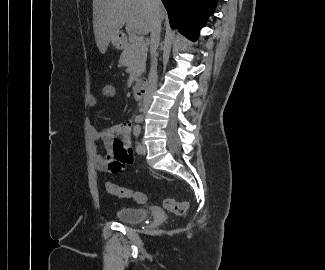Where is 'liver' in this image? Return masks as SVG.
<instances>
[{"mask_svg":"<svg viewBox=\"0 0 325 270\" xmlns=\"http://www.w3.org/2000/svg\"><path fill=\"white\" fill-rule=\"evenodd\" d=\"M156 12L162 20L165 16L162 4ZM153 20L154 8L148 0H93L94 36L102 54L125 23L129 35H146L151 32Z\"/></svg>","mask_w":325,"mask_h":270,"instance_id":"6515ba94","label":"liver"}]
</instances>
